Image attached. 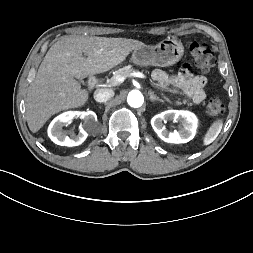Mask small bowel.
Listing matches in <instances>:
<instances>
[{
    "instance_id": "1",
    "label": "small bowel",
    "mask_w": 253,
    "mask_h": 253,
    "mask_svg": "<svg viewBox=\"0 0 253 253\" xmlns=\"http://www.w3.org/2000/svg\"><path fill=\"white\" fill-rule=\"evenodd\" d=\"M179 71L180 73L177 76L169 77L164 71L156 70L153 73V79L158 84L181 90L194 103H201L205 99L206 78L200 75H192V65L187 60L180 63Z\"/></svg>"
}]
</instances>
